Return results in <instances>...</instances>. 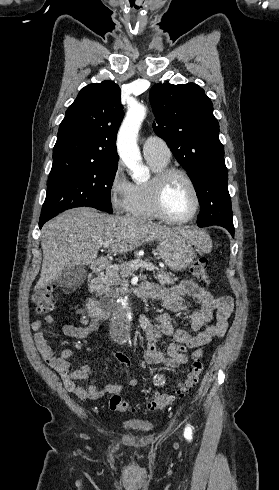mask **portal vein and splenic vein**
Segmentation results:
<instances>
[{
    "label": "portal vein and splenic vein",
    "mask_w": 279,
    "mask_h": 490,
    "mask_svg": "<svg viewBox=\"0 0 279 490\" xmlns=\"http://www.w3.org/2000/svg\"><path fill=\"white\" fill-rule=\"evenodd\" d=\"M103 248H109V242L107 244H102ZM131 266L133 268H146V270H154L155 266L149 264V262H142V260H137V262H132Z\"/></svg>",
    "instance_id": "obj_1"
}]
</instances>
